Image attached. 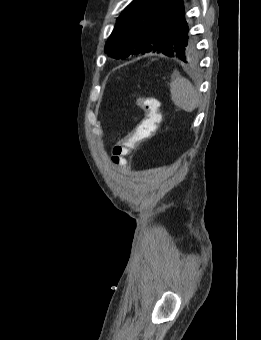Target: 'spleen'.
<instances>
[{
  "label": "spleen",
  "mask_w": 261,
  "mask_h": 340,
  "mask_svg": "<svg viewBox=\"0 0 261 340\" xmlns=\"http://www.w3.org/2000/svg\"><path fill=\"white\" fill-rule=\"evenodd\" d=\"M170 92L173 103L186 112H192L200 105L199 93L188 79L180 75L172 78Z\"/></svg>",
  "instance_id": "1"
}]
</instances>
